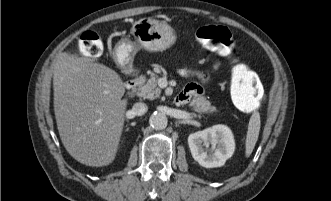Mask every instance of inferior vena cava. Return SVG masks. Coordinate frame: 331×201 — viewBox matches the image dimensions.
<instances>
[{
    "mask_svg": "<svg viewBox=\"0 0 331 201\" xmlns=\"http://www.w3.org/2000/svg\"><path fill=\"white\" fill-rule=\"evenodd\" d=\"M147 110H148V107L145 103L137 102L133 105V107L131 109V113L134 116H142L147 112Z\"/></svg>",
    "mask_w": 331,
    "mask_h": 201,
    "instance_id": "1",
    "label": "inferior vena cava"
}]
</instances>
